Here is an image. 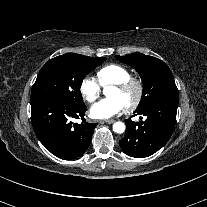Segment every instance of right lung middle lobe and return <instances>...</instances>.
I'll return each instance as SVG.
<instances>
[{
	"instance_id": "right-lung-middle-lobe-1",
	"label": "right lung middle lobe",
	"mask_w": 207,
	"mask_h": 207,
	"mask_svg": "<svg viewBox=\"0 0 207 207\" xmlns=\"http://www.w3.org/2000/svg\"><path fill=\"white\" fill-rule=\"evenodd\" d=\"M105 61L75 53L57 56L45 63L32 87L31 100L55 97L72 105H82L80 87L84 77Z\"/></svg>"
}]
</instances>
